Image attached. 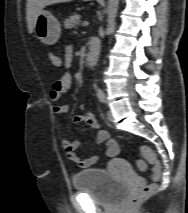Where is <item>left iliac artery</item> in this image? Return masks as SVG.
Here are the masks:
<instances>
[{"label":"left iliac artery","instance_id":"44dca946","mask_svg":"<svg viewBox=\"0 0 188 213\" xmlns=\"http://www.w3.org/2000/svg\"><path fill=\"white\" fill-rule=\"evenodd\" d=\"M101 101H102V102H105V99H104V98H101Z\"/></svg>","mask_w":188,"mask_h":213}]
</instances>
